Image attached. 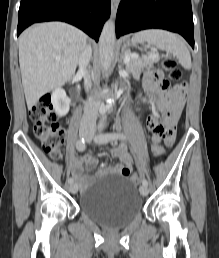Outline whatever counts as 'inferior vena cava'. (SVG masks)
<instances>
[{"label":"inferior vena cava","mask_w":219,"mask_h":258,"mask_svg":"<svg viewBox=\"0 0 219 258\" xmlns=\"http://www.w3.org/2000/svg\"><path fill=\"white\" fill-rule=\"evenodd\" d=\"M92 56V49L90 45H85L79 59V71L84 75V86L86 91L91 88V76L87 70L90 58ZM99 102L95 100L86 101L84 107V114L81 119L80 129L89 133H94L96 130V119L98 115Z\"/></svg>","instance_id":"602c4592"}]
</instances>
